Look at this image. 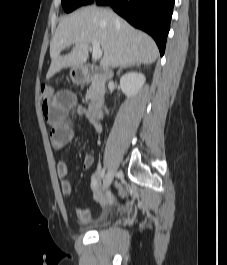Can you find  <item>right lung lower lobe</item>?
Wrapping results in <instances>:
<instances>
[{"label": "right lung lower lobe", "mask_w": 227, "mask_h": 265, "mask_svg": "<svg viewBox=\"0 0 227 265\" xmlns=\"http://www.w3.org/2000/svg\"><path fill=\"white\" fill-rule=\"evenodd\" d=\"M174 2L175 0H98L97 4H110L130 24L150 34L163 55Z\"/></svg>", "instance_id": "1"}]
</instances>
